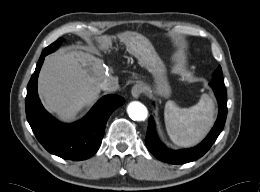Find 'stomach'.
I'll return each mask as SVG.
<instances>
[{
    "mask_svg": "<svg viewBox=\"0 0 260 192\" xmlns=\"http://www.w3.org/2000/svg\"><path fill=\"white\" fill-rule=\"evenodd\" d=\"M120 38L127 45L130 53L139 60L142 66L148 70L153 67L158 69L157 73H153L155 85L154 88H149V92L158 96L169 97L171 95V87L164 75V64L158 57L150 41L144 36L133 32L124 33Z\"/></svg>",
    "mask_w": 260,
    "mask_h": 192,
    "instance_id": "1",
    "label": "stomach"
}]
</instances>
